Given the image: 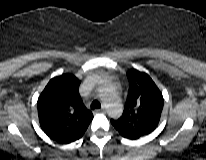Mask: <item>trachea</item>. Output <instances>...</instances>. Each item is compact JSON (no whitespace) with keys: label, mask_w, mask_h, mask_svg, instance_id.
<instances>
[{"label":"trachea","mask_w":206,"mask_h":160,"mask_svg":"<svg viewBox=\"0 0 206 160\" xmlns=\"http://www.w3.org/2000/svg\"><path fill=\"white\" fill-rule=\"evenodd\" d=\"M100 107H101V104L97 100H94L91 104L92 109H99Z\"/></svg>","instance_id":"1"}]
</instances>
